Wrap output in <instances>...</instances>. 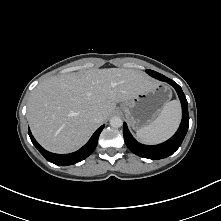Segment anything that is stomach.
<instances>
[{
  "instance_id": "0dacf381",
  "label": "stomach",
  "mask_w": 221,
  "mask_h": 221,
  "mask_svg": "<svg viewBox=\"0 0 221 221\" xmlns=\"http://www.w3.org/2000/svg\"><path fill=\"white\" fill-rule=\"evenodd\" d=\"M171 96L172 92L169 87L157 84L155 87L140 92L133 98L124 101L120 109L132 129L138 130L149 125L158 117Z\"/></svg>"
}]
</instances>
